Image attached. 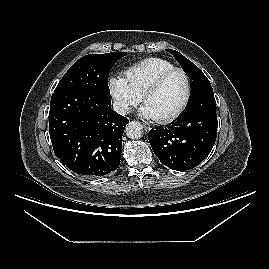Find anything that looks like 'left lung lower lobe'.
<instances>
[{
	"mask_svg": "<svg viewBox=\"0 0 269 269\" xmlns=\"http://www.w3.org/2000/svg\"><path fill=\"white\" fill-rule=\"evenodd\" d=\"M216 101L213 89L190 100L182 116L165 129L148 133L160 162L173 170H189L210 153L217 136Z\"/></svg>",
	"mask_w": 269,
	"mask_h": 269,
	"instance_id": "0a47b994",
	"label": "left lung lower lobe"
}]
</instances>
